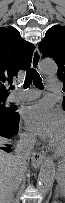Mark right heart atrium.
Segmentation results:
<instances>
[{
    "label": "right heart atrium",
    "mask_w": 65,
    "mask_h": 203,
    "mask_svg": "<svg viewBox=\"0 0 65 203\" xmlns=\"http://www.w3.org/2000/svg\"><path fill=\"white\" fill-rule=\"evenodd\" d=\"M22 138L27 144H32L35 141L33 135H31L30 133H23Z\"/></svg>",
    "instance_id": "1"
}]
</instances>
